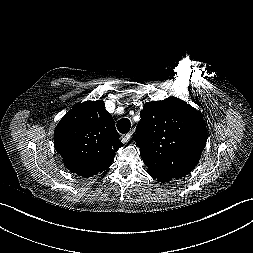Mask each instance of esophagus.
<instances>
[{
  "label": "esophagus",
  "instance_id": "1",
  "mask_svg": "<svg viewBox=\"0 0 253 253\" xmlns=\"http://www.w3.org/2000/svg\"><path fill=\"white\" fill-rule=\"evenodd\" d=\"M131 136H132V132H129V133L123 135V136H122V142H123V143L128 142V141L130 140Z\"/></svg>",
  "mask_w": 253,
  "mask_h": 253
}]
</instances>
